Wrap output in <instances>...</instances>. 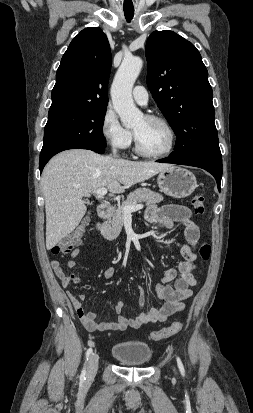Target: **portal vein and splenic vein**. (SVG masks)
<instances>
[{
	"instance_id": "portal-vein-and-splenic-vein-1",
	"label": "portal vein and splenic vein",
	"mask_w": 253,
	"mask_h": 413,
	"mask_svg": "<svg viewBox=\"0 0 253 413\" xmlns=\"http://www.w3.org/2000/svg\"><path fill=\"white\" fill-rule=\"evenodd\" d=\"M93 193L97 194L99 197H104L107 194V188L103 187L97 190H94ZM144 206L143 204H136L131 206L123 207L124 215H130L132 212L142 209Z\"/></svg>"
}]
</instances>
